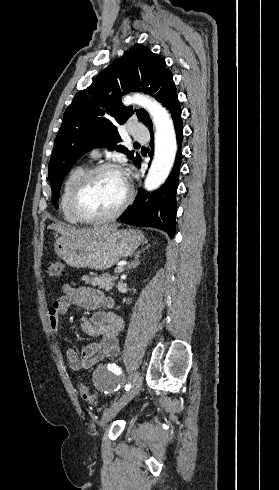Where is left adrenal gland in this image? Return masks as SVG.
Listing matches in <instances>:
<instances>
[{"mask_svg": "<svg viewBox=\"0 0 279 490\" xmlns=\"http://www.w3.org/2000/svg\"><path fill=\"white\" fill-rule=\"evenodd\" d=\"M149 246H151V244H147L146 248H143V250H141V252H137V254H135V258L133 260V262H131L130 266H128V268H132V266H135L137 260H139L142 252H144V250H148Z\"/></svg>", "mask_w": 279, "mask_h": 490, "instance_id": "a2214340", "label": "left adrenal gland"}]
</instances>
